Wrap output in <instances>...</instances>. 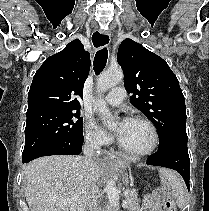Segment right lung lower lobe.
Here are the masks:
<instances>
[{"mask_svg": "<svg viewBox=\"0 0 209 211\" xmlns=\"http://www.w3.org/2000/svg\"><path fill=\"white\" fill-rule=\"evenodd\" d=\"M83 141L54 143L31 153L25 158H22V161L23 163H28L33 159L50 155H78L81 153Z\"/></svg>", "mask_w": 209, "mask_h": 211, "instance_id": "98d812e1", "label": "right lung lower lobe"}]
</instances>
